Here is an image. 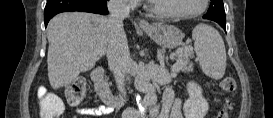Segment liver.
Wrapping results in <instances>:
<instances>
[{
    "instance_id": "6515ba94",
    "label": "liver",
    "mask_w": 273,
    "mask_h": 118,
    "mask_svg": "<svg viewBox=\"0 0 273 118\" xmlns=\"http://www.w3.org/2000/svg\"><path fill=\"white\" fill-rule=\"evenodd\" d=\"M108 18L85 12H64L48 25V78L53 89L70 84L91 70L106 54Z\"/></svg>"
}]
</instances>
